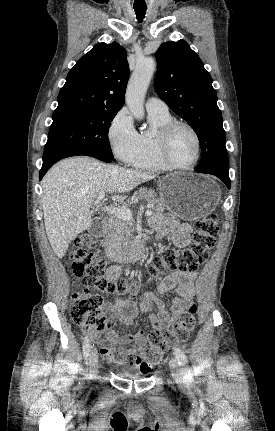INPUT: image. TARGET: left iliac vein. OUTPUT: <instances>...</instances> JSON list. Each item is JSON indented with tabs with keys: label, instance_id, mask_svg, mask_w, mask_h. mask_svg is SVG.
Masks as SVG:
<instances>
[{
	"label": "left iliac vein",
	"instance_id": "1",
	"mask_svg": "<svg viewBox=\"0 0 275 431\" xmlns=\"http://www.w3.org/2000/svg\"><path fill=\"white\" fill-rule=\"evenodd\" d=\"M169 366L172 372V375L174 379L179 383L182 384L184 382V373L182 369L180 368L178 361L175 358H171L169 362Z\"/></svg>",
	"mask_w": 275,
	"mask_h": 431
}]
</instances>
